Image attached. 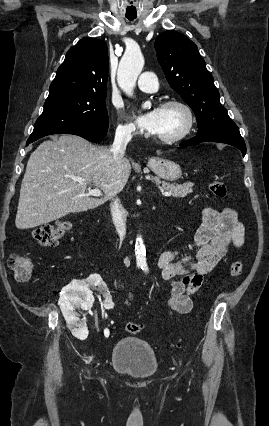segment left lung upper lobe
I'll list each match as a JSON object with an SVG mask.
<instances>
[{
	"label": "left lung upper lobe",
	"instance_id": "obj_1",
	"mask_svg": "<svg viewBox=\"0 0 269 426\" xmlns=\"http://www.w3.org/2000/svg\"><path fill=\"white\" fill-rule=\"evenodd\" d=\"M155 50L168 83L192 108L199 129L231 121L194 42L169 30L156 38Z\"/></svg>",
	"mask_w": 269,
	"mask_h": 426
}]
</instances>
